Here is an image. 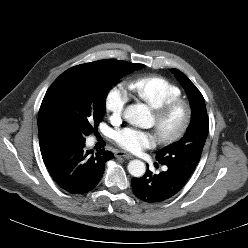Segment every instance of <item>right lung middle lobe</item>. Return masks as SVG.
I'll return each instance as SVG.
<instances>
[{"mask_svg":"<svg viewBox=\"0 0 248 248\" xmlns=\"http://www.w3.org/2000/svg\"><path fill=\"white\" fill-rule=\"evenodd\" d=\"M142 67L107 59L69 68L47 90L38 114V130L64 142L84 143L104 116L111 86Z\"/></svg>","mask_w":248,"mask_h":248,"instance_id":"1","label":"right lung middle lobe"}]
</instances>
